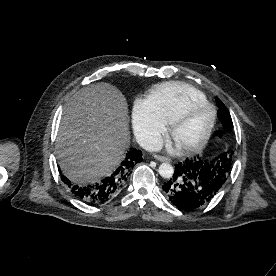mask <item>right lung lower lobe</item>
Here are the masks:
<instances>
[{
	"instance_id": "right-lung-lower-lobe-1",
	"label": "right lung lower lobe",
	"mask_w": 276,
	"mask_h": 276,
	"mask_svg": "<svg viewBox=\"0 0 276 276\" xmlns=\"http://www.w3.org/2000/svg\"><path fill=\"white\" fill-rule=\"evenodd\" d=\"M142 161V152L135 148L128 151L120 165L102 181L80 187L72 184L62 175V180L69 184L71 192L80 200L89 204L103 203L116 194L127 182L133 166Z\"/></svg>"
}]
</instances>
